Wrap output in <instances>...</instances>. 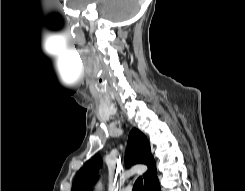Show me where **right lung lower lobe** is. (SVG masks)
<instances>
[{"mask_svg":"<svg viewBox=\"0 0 245 191\" xmlns=\"http://www.w3.org/2000/svg\"><path fill=\"white\" fill-rule=\"evenodd\" d=\"M144 191H161L158 178L156 177L150 183L146 184L144 186Z\"/></svg>","mask_w":245,"mask_h":191,"instance_id":"1","label":"right lung lower lobe"}]
</instances>
